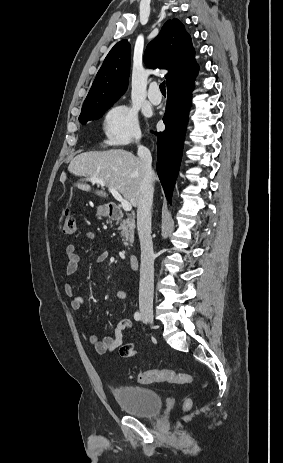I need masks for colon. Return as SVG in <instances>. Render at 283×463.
<instances>
[{"mask_svg":"<svg viewBox=\"0 0 283 463\" xmlns=\"http://www.w3.org/2000/svg\"><path fill=\"white\" fill-rule=\"evenodd\" d=\"M60 230L63 235L70 236L76 232V221L68 209H66L60 218ZM124 352V349L122 350ZM135 379L141 384L151 383H173V384H187L192 381V377L186 373H177L173 370H151L137 374ZM192 402L186 399L183 403L182 409L184 412L190 410Z\"/></svg>","mask_w":283,"mask_h":463,"instance_id":"5ec220e1","label":"colon"}]
</instances>
